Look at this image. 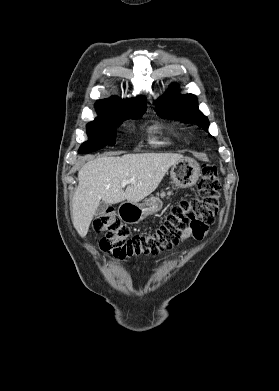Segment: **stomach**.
<instances>
[{"mask_svg": "<svg viewBox=\"0 0 279 391\" xmlns=\"http://www.w3.org/2000/svg\"><path fill=\"white\" fill-rule=\"evenodd\" d=\"M170 176L177 189L189 188L196 184L200 176V166L192 158L184 157L172 165ZM163 203L158 197L147 198L143 203L124 202L118 209L119 217L126 223L137 224L147 216L162 209Z\"/></svg>", "mask_w": 279, "mask_h": 391, "instance_id": "stomach-1", "label": "stomach"}]
</instances>
